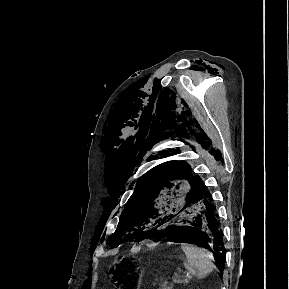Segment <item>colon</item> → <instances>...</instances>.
<instances>
[{"label":"colon","mask_w":289,"mask_h":289,"mask_svg":"<svg viewBox=\"0 0 289 289\" xmlns=\"http://www.w3.org/2000/svg\"><path fill=\"white\" fill-rule=\"evenodd\" d=\"M110 273L117 289H138L141 271L134 263L115 266Z\"/></svg>","instance_id":"colon-1"}]
</instances>
